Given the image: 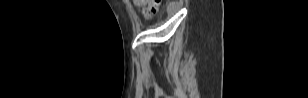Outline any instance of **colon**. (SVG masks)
<instances>
[{
    "label": "colon",
    "mask_w": 308,
    "mask_h": 98,
    "mask_svg": "<svg viewBox=\"0 0 308 98\" xmlns=\"http://www.w3.org/2000/svg\"><path fill=\"white\" fill-rule=\"evenodd\" d=\"M134 3L142 8L146 18H151L158 13L161 0H134Z\"/></svg>",
    "instance_id": "1"
}]
</instances>
